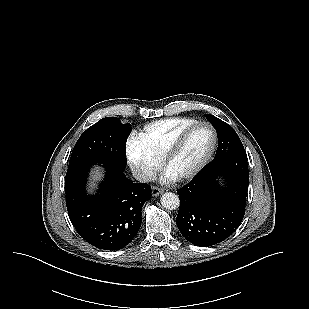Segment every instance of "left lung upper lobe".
Returning <instances> with one entry per match:
<instances>
[{"mask_svg":"<svg viewBox=\"0 0 309 309\" xmlns=\"http://www.w3.org/2000/svg\"><path fill=\"white\" fill-rule=\"evenodd\" d=\"M206 118L215 127L218 134V148L215 158L231 151L244 149L237 133L229 124L213 115H206Z\"/></svg>","mask_w":309,"mask_h":309,"instance_id":"1","label":"left lung upper lobe"}]
</instances>
